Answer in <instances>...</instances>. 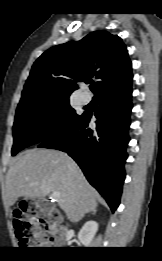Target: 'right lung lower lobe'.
I'll return each instance as SVG.
<instances>
[{
  "mask_svg": "<svg viewBox=\"0 0 162 261\" xmlns=\"http://www.w3.org/2000/svg\"><path fill=\"white\" fill-rule=\"evenodd\" d=\"M131 97V84L98 95L100 107L95 113V130L88 128L92 114L84 113L38 146L67 152L113 212L120 203L125 179L126 148L130 140L129 117L133 107Z\"/></svg>",
  "mask_w": 162,
  "mask_h": 261,
  "instance_id": "obj_1",
  "label": "right lung lower lobe"
}]
</instances>
